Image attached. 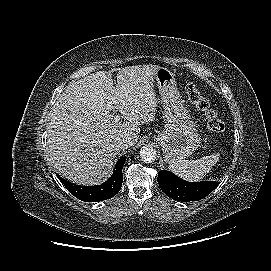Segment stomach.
<instances>
[{
	"label": "stomach",
	"instance_id": "0dacf381",
	"mask_svg": "<svg viewBox=\"0 0 271 271\" xmlns=\"http://www.w3.org/2000/svg\"><path fill=\"white\" fill-rule=\"evenodd\" d=\"M165 120L164 130L156 141L163 150L167 163L189 157L200 142L196 125L192 121L178 91L175 74L160 67L155 74Z\"/></svg>",
	"mask_w": 271,
	"mask_h": 271
}]
</instances>
